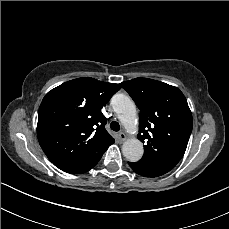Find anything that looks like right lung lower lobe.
<instances>
[{"mask_svg": "<svg viewBox=\"0 0 229 229\" xmlns=\"http://www.w3.org/2000/svg\"><path fill=\"white\" fill-rule=\"evenodd\" d=\"M99 160H100V159H99ZM99 160H98V161H99ZM98 161H96L88 170H90L91 168H93V167L98 163ZM88 170H87V171H88Z\"/></svg>", "mask_w": 229, "mask_h": 229, "instance_id": "1", "label": "right lung lower lobe"}]
</instances>
